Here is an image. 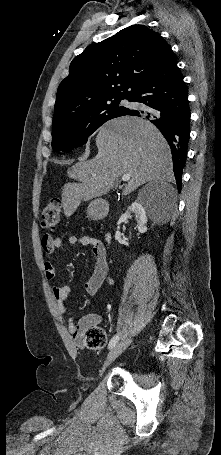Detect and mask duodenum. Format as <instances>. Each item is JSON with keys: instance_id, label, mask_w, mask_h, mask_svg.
I'll list each match as a JSON object with an SVG mask.
<instances>
[{"instance_id": "1", "label": "duodenum", "mask_w": 221, "mask_h": 455, "mask_svg": "<svg viewBox=\"0 0 221 455\" xmlns=\"http://www.w3.org/2000/svg\"><path fill=\"white\" fill-rule=\"evenodd\" d=\"M96 214L98 217H102L106 214V207L103 205V206H98L96 208ZM107 241H110L111 237L110 235L108 234L107 237H106Z\"/></svg>"}]
</instances>
